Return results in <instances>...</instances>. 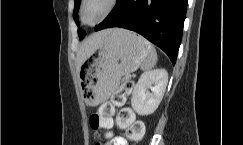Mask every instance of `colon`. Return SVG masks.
Here are the masks:
<instances>
[{
    "instance_id": "5ec220e1",
    "label": "colon",
    "mask_w": 243,
    "mask_h": 145,
    "mask_svg": "<svg viewBox=\"0 0 243 145\" xmlns=\"http://www.w3.org/2000/svg\"><path fill=\"white\" fill-rule=\"evenodd\" d=\"M133 90V82H124L120 89L114 93L111 100L101 104L96 113L91 115L89 123L93 130L109 129L113 126L112 116L115 107L123 105L125 96ZM119 128L124 129L129 139L133 141L140 140L144 135V125L142 122L135 120L134 114L129 108H122L116 117ZM110 137V134H107ZM95 145H110L109 142H97Z\"/></svg>"
}]
</instances>
